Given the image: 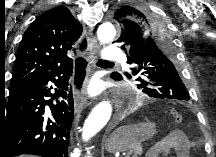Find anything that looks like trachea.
Wrapping results in <instances>:
<instances>
[{"mask_svg":"<svg viewBox=\"0 0 216 157\" xmlns=\"http://www.w3.org/2000/svg\"><path fill=\"white\" fill-rule=\"evenodd\" d=\"M85 46H86V40H84L82 43H81V49H84L85 48ZM80 61H83V59H79ZM112 62H110V61H105V60H99L98 62H97V64L98 65H104V64H111Z\"/></svg>","mask_w":216,"mask_h":157,"instance_id":"obj_1","label":"trachea"}]
</instances>
